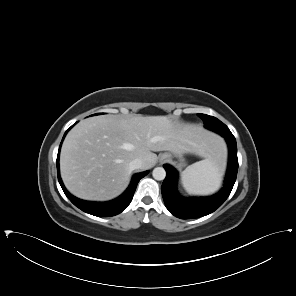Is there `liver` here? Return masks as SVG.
Listing matches in <instances>:
<instances>
[{
    "label": "liver",
    "instance_id": "6515ba94",
    "mask_svg": "<svg viewBox=\"0 0 296 296\" xmlns=\"http://www.w3.org/2000/svg\"><path fill=\"white\" fill-rule=\"evenodd\" d=\"M221 140L201 126L172 121L167 116L102 115L81 120L67 134L60 154L66 188L78 198L106 201L127 187L139 158L143 170L157 163L153 152L191 153L210 157Z\"/></svg>",
    "mask_w": 296,
    "mask_h": 296
}]
</instances>
